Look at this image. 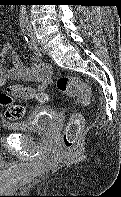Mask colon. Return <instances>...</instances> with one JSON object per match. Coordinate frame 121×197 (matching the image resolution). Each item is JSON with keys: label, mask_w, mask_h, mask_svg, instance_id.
Instances as JSON below:
<instances>
[{"label": "colon", "mask_w": 121, "mask_h": 197, "mask_svg": "<svg viewBox=\"0 0 121 197\" xmlns=\"http://www.w3.org/2000/svg\"><path fill=\"white\" fill-rule=\"evenodd\" d=\"M56 87L70 98L80 96L83 106L89 105L92 100L90 87L78 78L61 76L56 81ZM14 96L31 97L32 92L28 87L12 85L7 88V92L0 94V105L5 108V116L10 120L20 119L25 114L24 107L13 102ZM36 96L41 103H47L49 100L44 92H38ZM82 130V117L79 114H72L63 133V144L67 149H71L76 144Z\"/></svg>", "instance_id": "colon-1"}]
</instances>
